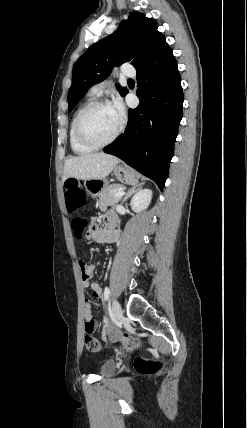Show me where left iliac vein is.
<instances>
[{
    "label": "left iliac vein",
    "mask_w": 247,
    "mask_h": 428,
    "mask_svg": "<svg viewBox=\"0 0 247 428\" xmlns=\"http://www.w3.org/2000/svg\"><path fill=\"white\" fill-rule=\"evenodd\" d=\"M112 312L114 322H118L122 316V308L117 300H113L112 302Z\"/></svg>",
    "instance_id": "left-iliac-vein-1"
}]
</instances>
